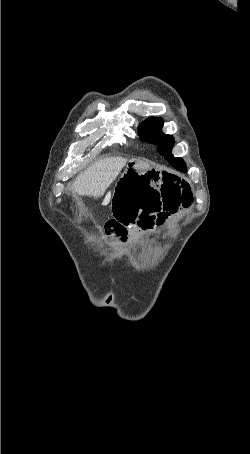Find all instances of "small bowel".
Segmentation results:
<instances>
[{"label": "small bowel", "mask_w": 250, "mask_h": 454, "mask_svg": "<svg viewBox=\"0 0 250 454\" xmlns=\"http://www.w3.org/2000/svg\"><path fill=\"white\" fill-rule=\"evenodd\" d=\"M192 200L191 187L185 180L170 174L128 171L115 184L114 218L107 228L126 240L129 226L150 230L189 207Z\"/></svg>", "instance_id": "c3829d8e"}]
</instances>
